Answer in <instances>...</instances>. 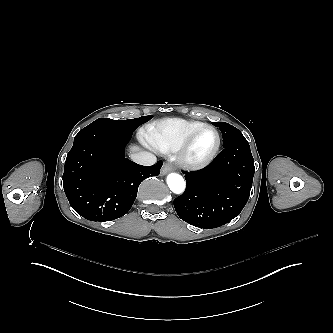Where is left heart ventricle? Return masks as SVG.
<instances>
[{
	"label": "left heart ventricle",
	"mask_w": 333,
	"mask_h": 333,
	"mask_svg": "<svg viewBox=\"0 0 333 333\" xmlns=\"http://www.w3.org/2000/svg\"><path fill=\"white\" fill-rule=\"evenodd\" d=\"M216 143L215 132L210 128H205L193 138L189 147V156L194 160H202L212 153Z\"/></svg>",
	"instance_id": "left-heart-ventricle-1"
}]
</instances>
